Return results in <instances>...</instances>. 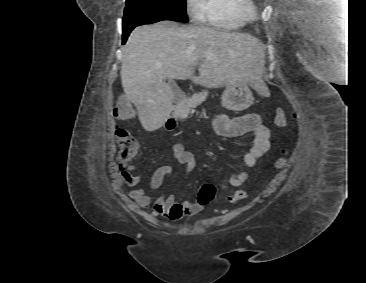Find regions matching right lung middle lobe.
Wrapping results in <instances>:
<instances>
[{
    "label": "right lung middle lobe",
    "mask_w": 366,
    "mask_h": 283,
    "mask_svg": "<svg viewBox=\"0 0 366 283\" xmlns=\"http://www.w3.org/2000/svg\"><path fill=\"white\" fill-rule=\"evenodd\" d=\"M162 20L188 22L186 0H126L123 28Z\"/></svg>",
    "instance_id": "right-lung-middle-lobe-1"
}]
</instances>
